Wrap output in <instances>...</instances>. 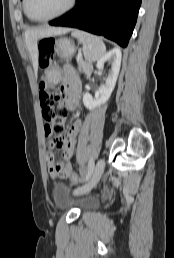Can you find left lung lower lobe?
Instances as JSON below:
<instances>
[{
	"instance_id": "0a47b994",
	"label": "left lung lower lobe",
	"mask_w": 174,
	"mask_h": 258,
	"mask_svg": "<svg viewBox=\"0 0 174 258\" xmlns=\"http://www.w3.org/2000/svg\"><path fill=\"white\" fill-rule=\"evenodd\" d=\"M141 0H77L76 6L53 26L73 27L102 35L121 47L128 45Z\"/></svg>"
}]
</instances>
